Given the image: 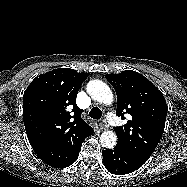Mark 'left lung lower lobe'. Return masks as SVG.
Listing matches in <instances>:
<instances>
[{
	"instance_id": "0a47b994",
	"label": "left lung lower lobe",
	"mask_w": 187,
	"mask_h": 187,
	"mask_svg": "<svg viewBox=\"0 0 187 187\" xmlns=\"http://www.w3.org/2000/svg\"><path fill=\"white\" fill-rule=\"evenodd\" d=\"M102 155L105 168L115 175L134 172L147 161V158L128 152L119 145L110 150H103Z\"/></svg>"
}]
</instances>
